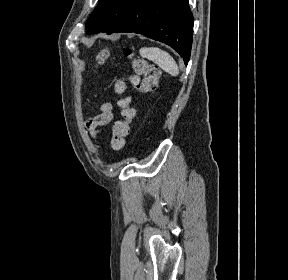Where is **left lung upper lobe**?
I'll return each mask as SVG.
<instances>
[{"mask_svg": "<svg viewBox=\"0 0 288 280\" xmlns=\"http://www.w3.org/2000/svg\"><path fill=\"white\" fill-rule=\"evenodd\" d=\"M138 1L139 0H99L97 7L86 23L87 33L102 31L111 34Z\"/></svg>", "mask_w": 288, "mask_h": 280, "instance_id": "5c2ea615", "label": "left lung upper lobe"}]
</instances>
